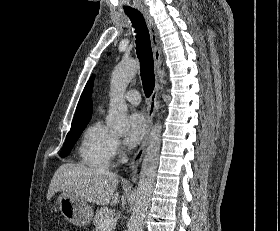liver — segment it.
I'll use <instances>...</instances> for the list:
<instances>
[{
    "label": "liver",
    "instance_id": "1",
    "mask_svg": "<svg viewBox=\"0 0 280 231\" xmlns=\"http://www.w3.org/2000/svg\"><path fill=\"white\" fill-rule=\"evenodd\" d=\"M118 181L119 177L113 171H99L79 163H62L51 179L47 199L56 191H65L96 205L110 203L113 207L119 201L124 205L126 199H119L120 191H115Z\"/></svg>",
    "mask_w": 280,
    "mask_h": 231
}]
</instances>
